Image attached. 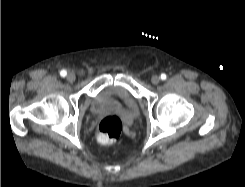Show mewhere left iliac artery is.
<instances>
[{
  "mask_svg": "<svg viewBox=\"0 0 245 187\" xmlns=\"http://www.w3.org/2000/svg\"><path fill=\"white\" fill-rule=\"evenodd\" d=\"M166 77H167L166 74H164V73L161 74V79H162V80H165Z\"/></svg>",
  "mask_w": 245,
  "mask_h": 187,
  "instance_id": "44dca946",
  "label": "left iliac artery"
}]
</instances>
